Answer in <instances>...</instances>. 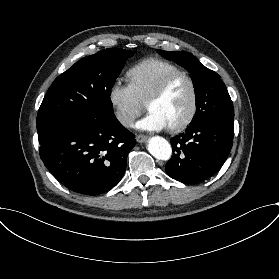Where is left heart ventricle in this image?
Instances as JSON below:
<instances>
[{
	"label": "left heart ventricle",
	"instance_id": "b2bd125f",
	"mask_svg": "<svg viewBox=\"0 0 279 279\" xmlns=\"http://www.w3.org/2000/svg\"><path fill=\"white\" fill-rule=\"evenodd\" d=\"M191 102V86L186 79H180L162 98L151 104L149 111L157 113L168 126H172L185 119Z\"/></svg>",
	"mask_w": 279,
	"mask_h": 279
}]
</instances>
